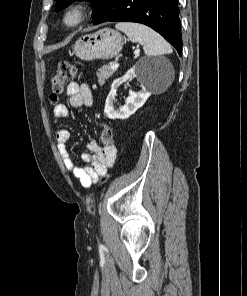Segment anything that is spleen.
<instances>
[{
    "label": "spleen",
    "mask_w": 247,
    "mask_h": 296,
    "mask_svg": "<svg viewBox=\"0 0 247 296\" xmlns=\"http://www.w3.org/2000/svg\"><path fill=\"white\" fill-rule=\"evenodd\" d=\"M115 28L124 32L132 42L140 43L148 57L172 53L169 43L160 34L145 25L133 22H119L115 25ZM169 70L172 71L169 80V83H171L174 79V72L172 67H169Z\"/></svg>",
    "instance_id": "spleen-1"
}]
</instances>
